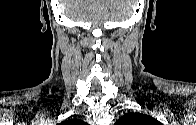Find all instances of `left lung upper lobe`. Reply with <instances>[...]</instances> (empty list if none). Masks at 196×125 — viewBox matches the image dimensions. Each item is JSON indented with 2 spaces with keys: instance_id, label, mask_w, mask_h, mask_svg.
Returning a JSON list of instances; mask_svg holds the SVG:
<instances>
[{
  "instance_id": "obj_1",
  "label": "left lung upper lobe",
  "mask_w": 196,
  "mask_h": 125,
  "mask_svg": "<svg viewBox=\"0 0 196 125\" xmlns=\"http://www.w3.org/2000/svg\"><path fill=\"white\" fill-rule=\"evenodd\" d=\"M160 122L154 119L151 116L129 112L122 116L117 122L116 125H159Z\"/></svg>"
}]
</instances>
